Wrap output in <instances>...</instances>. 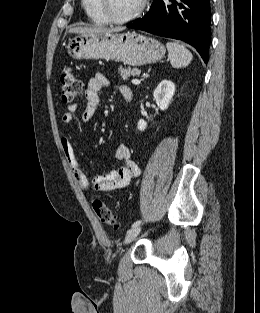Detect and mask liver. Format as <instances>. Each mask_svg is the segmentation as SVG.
Listing matches in <instances>:
<instances>
[{"instance_id":"liver-1","label":"liver","mask_w":260,"mask_h":313,"mask_svg":"<svg viewBox=\"0 0 260 313\" xmlns=\"http://www.w3.org/2000/svg\"><path fill=\"white\" fill-rule=\"evenodd\" d=\"M124 30L122 27L105 28V27H74L69 30V33H77L80 35L94 34V33H113Z\"/></svg>"}]
</instances>
